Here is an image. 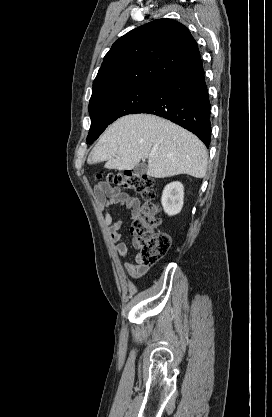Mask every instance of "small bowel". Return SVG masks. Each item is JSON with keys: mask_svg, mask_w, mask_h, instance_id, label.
Wrapping results in <instances>:
<instances>
[{"mask_svg": "<svg viewBox=\"0 0 272 417\" xmlns=\"http://www.w3.org/2000/svg\"><path fill=\"white\" fill-rule=\"evenodd\" d=\"M94 195L98 209L105 213L104 222L115 245L116 253L121 257H129V248L126 243L121 241L123 222L122 220H113L109 208L112 205L123 206L129 210L132 218H137L141 211L139 199L108 182H99L94 188ZM132 245L135 248L138 247L137 239H133ZM123 268L132 279H139L148 271L149 267L142 264L140 255L136 254L131 261L123 263Z\"/></svg>", "mask_w": 272, "mask_h": 417, "instance_id": "c3829d8e", "label": "small bowel"}]
</instances>
